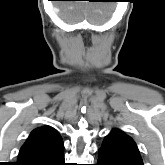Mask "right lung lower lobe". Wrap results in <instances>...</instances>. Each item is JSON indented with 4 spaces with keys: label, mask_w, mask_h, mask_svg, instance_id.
I'll list each match as a JSON object with an SVG mask.
<instances>
[{
    "label": "right lung lower lobe",
    "mask_w": 165,
    "mask_h": 165,
    "mask_svg": "<svg viewBox=\"0 0 165 165\" xmlns=\"http://www.w3.org/2000/svg\"><path fill=\"white\" fill-rule=\"evenodd\" d=\"M37 151L17 165H66L64 160V144L60 135H57L36 146Z\"/></svg>",
    "instance_id": "right-lung-lower-lobe-1"
}]
</instances>
